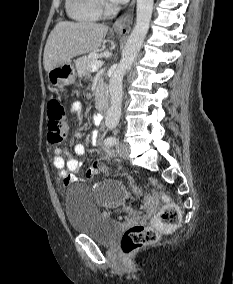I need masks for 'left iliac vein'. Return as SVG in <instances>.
Here are the masks:
<instances>
[{"mask_svg": "<svg viewBox=\"0 0 233 284\" xmlns=\"http://www.w3.org/2000/svg\"><path fill=\"white\" fill-rule=\"evenodd\" d=\"M116 151L121 158L128 159L129 157V146L128 145L120 143L116 146Z\"/></svg>", "mask_w": 233, "mask_h": 284, "instance_id": "1", "label": "left iliac vein"}]
</instances>
